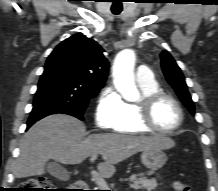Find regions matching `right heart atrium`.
I'll return each mask as SVG.
<instances>
[{
    "label": "right heart atrium",
    "mask_w": 218,
    "mask_h": 191,
    "mask_svg": "<svg viewBox=\"0 0 218 191\" xmlns=\"http://www.w3.org/2000/svg\"><path fill=\"white\" fill-rule=\"evenodd\" d=\"M122 108L123 101L121 96L112 87L104 89L94 111L96 125L103 130L114 129L121 117Z\"/></svg>",
    "instance_id": "1"
}]
</instances>
